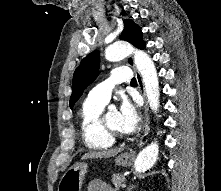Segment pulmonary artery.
Here are the masks:
<instances>
[{
  "label": "pulmonary artery",
  "instance_id": "obj_1",
  "mask_svg": "<svg viewBox=\"0 0 221 191\" xmlns=\"http://www.w3.org/2000/svg\"><path fill=\"white\" fill-rule=\"evenodd\" d=\"M133 72L129 67H118L112 70L110 79L98 84L88 93V99L94 102L107 103L115 85L131 82Z\"/></svg>",
  "mask_w": 221,
  "mask_h": 191
}]
</instances>
